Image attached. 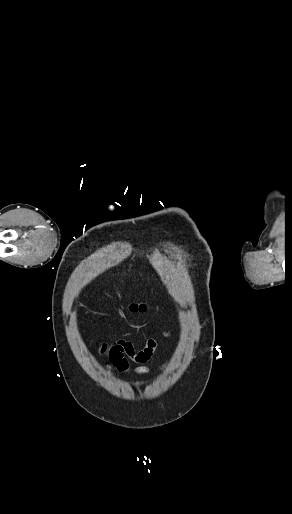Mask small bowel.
<instances>
[{"mask_svg": "<svg viewBox=\"0 0 292 514\" xmlns=\"http://www.w3.org/2000/svg\"><path fill=\"white\" fill-rule=\"evenodd\" d=\"M163 337H170V333L164 332ZM157 339L149 338L144 348L137 350L133 344L124 339H117L113 344L102 343L98 346L101 354L109 355V362L106 364V370L111 372L113 369L126 373L130 369V363L138 364L132 369L137 375H145L151 372L152 366L145 365L148 363L157 349Z\"/></svg>", "mask_w": 292, "mask_h": 514, "instance_id": "obj_1", "label": "small bowel"}]
</instances>
